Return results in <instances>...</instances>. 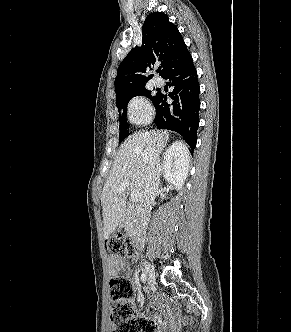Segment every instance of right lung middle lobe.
<instances>
[{"label": "right lung middle lobe", "instance_id": "obj_1", "mask_svg": "<svg viewBox=\"0 0 291 332\" xmlns=\"http://www.w3.org/2000/svg\"><path fill=\"white\" fill-rule=\"evenodd\" d=\"M158 94V93H157ZM157 94L155 96L151 95V91L147 90L145 87L136 89L128 94H126L124 97L116 100V105L118 108V112L120 113L119 119H120V136H119V142L121 143L129 134V126L127 124L126 119V113H127V104L129 100L134 96H146L154 103ZM122 113V114H121Z\"/></svg>", "mask_w": 291, "mask_h": 332}]
</instances>
